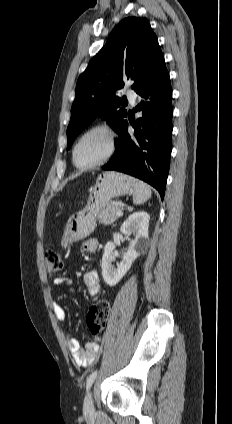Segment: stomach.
Here are the masks:
<instances>
[{
	"instance_id": "0dacf381",
	"label": "stomach",
	"mask_w": 232,
	"mask_h": 424,
	"mask_svg": "<svg viewBox=\"0 0 232 424\" xmlns=\"http://www.w3.org/2000/svg\"><path fill=\"white\" fill-rule=\"evenodd\" d=\"M134 185L133 178L121 173L110 171L100 175L90 189V198L85 209L67 224L61 240L62 247L89 236L96 226L98 214L113 198L131 193Z\"/></svg>"
}]
</instances>
